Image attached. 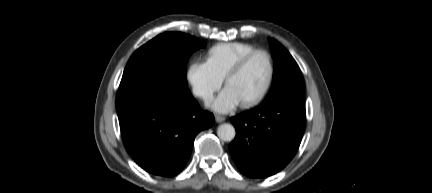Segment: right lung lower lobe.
<instances>
[{
	"label": "right lung lower lobe",
	"instance_id": "98d812e1",
	"mask_svg": "<svg viewBox=\"0 0 432 193\" xmlns=\"http://www.w3.org/2000/svg\"><path fill=\"white\" fill-rule=\"evenodd\" d=\"M125 146L146 171L175 176L186 165L196 135L213 125L191 93L178 95L155 86L139 87L117 99Z\"/></svg>",
	"mask_w": 432,
	"mask_h": 193
}]
</instances>
